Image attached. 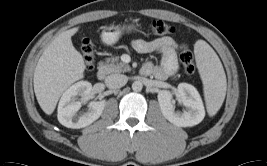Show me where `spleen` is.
<instances>
[{"label": "spleen", "mask_w": 267, "mask_h": 166, "mask_svg": "<svg viewBox=\"0 0 267 166\" xmlns=\"http://www.w3.org/2000/svg\"><path fill=\"white\" fill-rule=\"evenodd\" d=\"M196 64L203 82L207 112L215 115L221 108L226 95V75L220 59L203 40L195 45Z\"/></svg>", "instance_id": "obj_1"}]
</instances>
